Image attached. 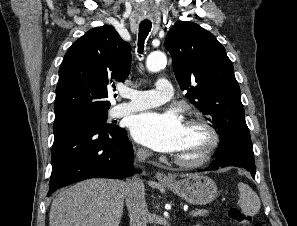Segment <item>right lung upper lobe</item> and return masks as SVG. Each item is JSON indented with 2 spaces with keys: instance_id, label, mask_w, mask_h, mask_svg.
Segmentation results:
<instances>
[{
  "instance_id": "1",
  "label": "right lung upper lobe",
  "mask_w": 297,
  "mask_h": 226,
  "mask_svg": "<svg viewBox=\"0 0 297 226\" xmlns=\"http://www.w3.org/2000/svg\"><path fill=\"white\" fill-rule=\"evenodd\" d=\"M131 47L113 26L89 30L64 56L56 87V119L83 111L108 110V91L130 71Z\"/></svg>"
}]
</instances>
